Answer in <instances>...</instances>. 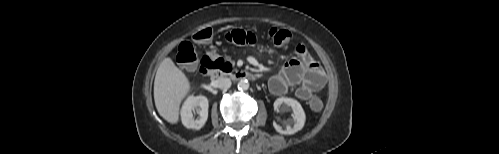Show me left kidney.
Listing matches in <instances>:
<instances>
[{
  "label": "left kidney",
  "instance_id": "left-kidney-1",
  "mask_svg": "<svg viewBox=\"0 0 499 154\" xmlns=\"http://www.w3.org/2000/svg\"><path fill=\"white\" fill-rule=\"evenodd\" d=\"M274 110L276 112H286L292 110L293 112L291 115L293 120L289 121L285 127L280 126L275 121L273 122V126L278 133L291 135L300 131L304 127L306 115L301 104L297 100L287 97L278 98L274 102ZM293 121L294 125L291 126Z\"/></svg>",
  "mask_w": 499,
  "mask_h": 154
}]
</instances>
